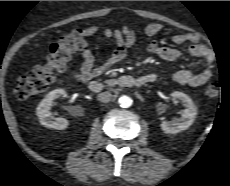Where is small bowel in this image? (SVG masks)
<instances>
[{"label": "small bowel", "instance_id": "c3829d8e", "mask_svg": "<svg viewBox=\"0 0 230 186\" xmlns=\"http://www.w3.org/2000/svg\"><path fill=\"white\" fill-rule=\"evenodd\" d=\"M164 26L160 23H152L146 26L144 32L149 38H152L162 32ZM99 30L97 26H91L83 30L85 34L91 35ZM105 37L114 43L115 47L106 62L99 67H95V57L91 50L85 48L81 55L83 58L79 70H72L71 75L80 82H87L102 74L108 67L120 62L127 55V50L136 43V34L130 27L105 28L103 30ZM175 44L190 43L185 50L160 46L155 41L149 42L147 51L157 55L166 61H177L184 56L199 58L204 62V67L197 71L195 68L182 69L172 75V80L179 84L198 87L208 82L215 72L216 56L211 48L199 42V38L193 33H177L172 36ZM145 83L155 82L160 78L157 73H148L142 76Z\"/></svg>", "mask_w": 230, "mask_h": 186}]
</instances>
